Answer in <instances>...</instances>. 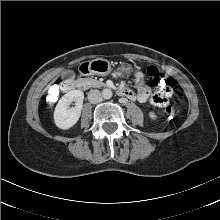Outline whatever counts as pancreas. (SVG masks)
<instances>
[{"label": "pancreas", "instance_id": "cf45deb5", "mask_svg": "<svg viewBox=\"0 0 220 220\" xmlns=\"http://www.w3.org/2000/svg\"><path fill=\"white\" fill-rule=\"evenodd\" d=\"M81 81L84 83V85L86 87H101L104 85L103 82L98 81L96 79H92V78H85V79H81Z\"/></svg>", "mask_w": 220, "mask_h": 220}]
</instances>
